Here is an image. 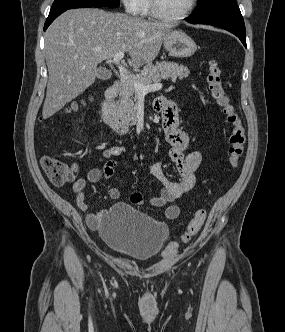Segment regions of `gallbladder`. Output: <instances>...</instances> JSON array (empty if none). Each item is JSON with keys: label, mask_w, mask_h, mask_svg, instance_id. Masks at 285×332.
<instances>
[{"label": "gallbladder", "mask_w": 285, "mask_h": 332, "mask_svg": "<svg viewBox=\"0 0 285 332\" xmlns=\"http://www.w3.org/2000/svg\"><path fill=\"white\" fill-rule=\"evenodd\" d=\"M97 77L100 80H108L111 78V72L106 68H99Z\"/></svg>", "instance_id": "bac80fb5"}]
</instances>
